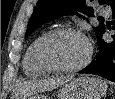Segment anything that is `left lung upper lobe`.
Instances as JSON below:
<instances>
[{"instance_id":"1","label":"left lung upper lobe","mask_w":115,"mask_h":99,"mask_svg":"<svg viewBox=\"0 0 115 99\" xmlns=\"http://www.w3.org/2000/svg\"><path fill=\"white\" fill-rule=\"evenodd\" d=\"M92 0H38L34 12L29 20L28 28L25 36L31 34L42 24L61 17L64 15H79L93 16V9L89 7V2ZM99 3L110 5L111 8L115 5V0H99ZM105 29L103 24L94 27L97 38Z\"/></svg>"}]
</instances>
